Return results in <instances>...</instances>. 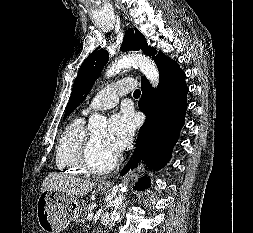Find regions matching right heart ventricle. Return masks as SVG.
Instances as JSON below:
<instances>
[{
    "label": "right heart ventricle",
    "mask_w": 253,
    "mask_h": 233,
    "mask_svg": "<svg viewBox=\"0 0 253 233\" xmlns=\"http://www.w3.org/2000/svg\"><path fill=\"white\" fill-rule=\"evenodd\" d=\"M88 135L83 115L71 120L64 128L55 150V165L59 172L68 175L88 173L79 162L80 151Z\"/></svg>",
    "instance_id": "right-heart-ventricle-1"
}]
</instances>
